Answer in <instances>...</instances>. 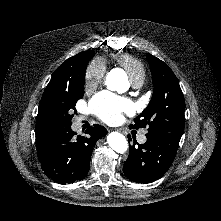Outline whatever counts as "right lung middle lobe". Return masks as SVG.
Masks as SVG:
<instances>
[{"label":"right lung middle lobe","instance_id":"right-lung-middle-lobe-1","mask_svg":"<svg viewBox=\"0 0 221 221\" xmlns=\"http://www.w3.org/2000/svg\"><path fill=\"white\" fill-rule=\"evenodd\" d=\"M85 71L86 67L74 81L56 85L44 92L38 116L50 130L57 132L71 126L76 102L84 95Z\"/></svg>","mask_w":221,"mask_h":221}]
</instances>
